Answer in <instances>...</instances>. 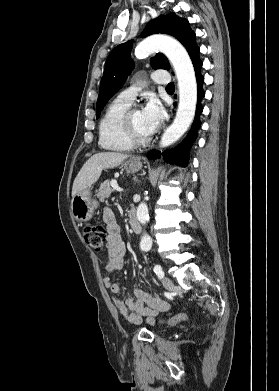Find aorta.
<instances>
[{
	"label": "aorta",
	"mask_w": 279,
	"mask_h": 391,
	"mask_svg": "<svg viewBox=\"0 0 279 391\" xmlns=\"http://www.w3.org/2000/svg\"><path fill=\"white\" fill-rule=\"evenodd\" d=\"M156 50L163 52L171 62L178 80L179 104L173 123L163 133L160 147H166L176 142L191 125L197 104V83L192 61L185 48L175 39L167 36H150L140 42L135 54L144 58ZM137 219L145 225L149 220L148 206L141 202L137 208ZM152 247V239L144 234L140 248L148 251Z\"/></svg>",
	"instance_id": "obj_1"
}]
</instances>
